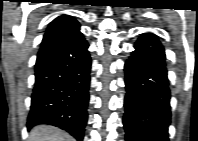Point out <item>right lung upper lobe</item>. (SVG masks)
<instances>
[{"instance_id": "1", "label": "right lung upper lobe", "mask_w": 198, "mask_h": 141, "mask_svg": "<svg viewBox=\"0 0 198 141\" xmlns=\"http://www.w3.org/2000/svg\"><path fill=\"white\" fill-rule=\"evenodd\" d=\"M80 32L79 23L67 15H62L53 20L43 37L41 48L60 42Z\"/></svg>"}]
</instances>
